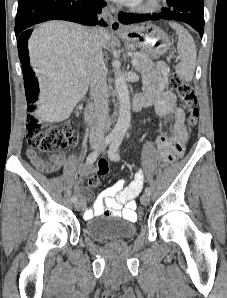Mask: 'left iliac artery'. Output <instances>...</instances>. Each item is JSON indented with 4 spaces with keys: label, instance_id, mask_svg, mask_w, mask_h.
Here are the masks:
<instances>
[{
    "label": "left iliac artery",
    "instance_id": "left-iliac-artery-1",
    "mask_svg": "<svg viewBox=\"0 0 227 298\" xmlns=\"http://www.w3.org/2000/svg\"><path fill=\"white\" fill-rule=\"evenodd\" d=\"M122 139L119 137H116L113 139L110 148H109V158L113 161H118L120 159V156L118 154L119 146L121 144ZM145 193L151 194V189L149 187L145 188Z\"/></svg>",
    "mask_w": 227,
    "mask_h": 298
}]
</instances>
